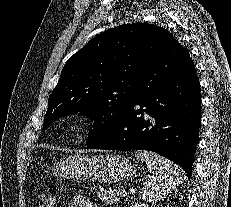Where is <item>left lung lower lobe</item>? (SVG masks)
I'll list each match as a JSON object with an SVG mask.
<instances>
[{"instance_id":"left-lung-lower-lobe-1","label":"left lung lower lobe","mask_w":231,"mask_h":207,"mask_svg":"<svg viewBox=\"0 0 231 207\" xmlns=\"http://www.w3.org/2000/svg\"><path fill=\"white\" fill-rule=\"evenodd\" d=\"M139 90L116 130L88 148L153 151L177 163L190 179L199 140L201 95L188 50L175 41L142 74Z\"/></svg>"}]
</instances>
